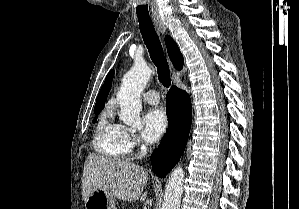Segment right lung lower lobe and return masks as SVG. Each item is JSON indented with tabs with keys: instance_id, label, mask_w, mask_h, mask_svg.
<instances>
[{
	"instance_id": "obj_1",
	"label": "right lung lower lobe",
	"mask_w": 299,
	"mask_h": 209,
	"mask_svg": "<svg viewBox=\"0 0 299 209\" xmlns=\"http://www.w3.org/2000/svg\"><path fill=\"white\" fill-rule=\"evenodd\" d=\"M166 99L168 131L151 158L152 168L161 178L176 165L184 152L192 122L191 100L184 90L173 86Z\"/></svg>"
}]
</instances>
